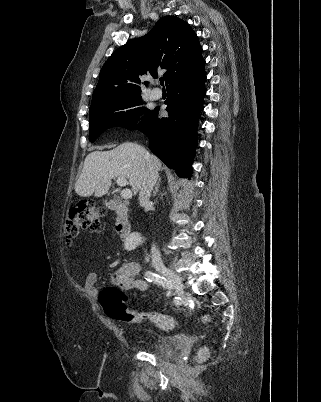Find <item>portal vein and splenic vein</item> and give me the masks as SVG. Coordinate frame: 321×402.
Listing matches in <instances>:
<instances>
[{"mask_svg": "<svg viewBox=\"0 0 321 402\" xmlns=\"http://www.w3.org/2000/svg\"><path fill=\"white\" fill-rule=\"evenodd\" d=\"M117 184L119 185V186H126V184H127V180H126V178H124V177H118L117 178ZM121 196H122V198H124V199H129V198H131L132 197V191L130 190V189H123L122 191H121Z\"/></svg>", "mask_w": 321, "mask_h": 402, "instance_id": "obj_1", "label": "portal vein and splenic vein"}]
</instances>
